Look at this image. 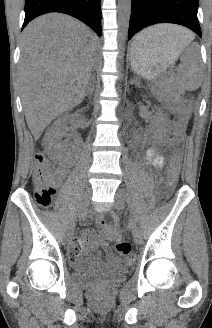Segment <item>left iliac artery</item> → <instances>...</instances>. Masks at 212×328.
<instances>
[{"label":"left iliac artery","instance_id":"44dca946","mask_svg":"<svg viewBox=\"0 0 212 328\" xmlns=\"http://www.w3.org/2000/svg\"><path fill=\"white\" fill-rule=\"evenodd\" d=\"M123 194H124V197H125V199L127 200L128 204H129L130 211H131V213H132V215H133L135 221L138 222V217H137V215H136V212H135L133 206L131 205V202L129 201L128 194H127L124 190H123Z\"/></svg>","mask_w":212,"mask_h":328}]
</instances>
